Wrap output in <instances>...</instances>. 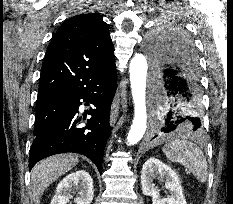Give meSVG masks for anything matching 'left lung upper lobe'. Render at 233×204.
<instances>
[{
  "instance_id": "1",
  "label": "left lung upper lobe",
  "mask_w": 233,
  "mask_h": 204,
  "mask_svg": "<svg viewBox=\"0 0 233 204\" xmlns=\"http://www.w3.org/2000/svg\"><path fill=\"white\" fill-rule=\"evenodd\" d=\"M146 45L154 68L159 67L167 60L169 53L173 52L192 58L199 72L193 42L182 29L175 26L157 29L148 37Z\"/></svg>"
}]
</instances>
